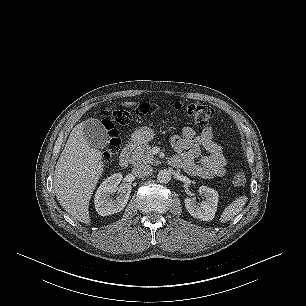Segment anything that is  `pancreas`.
<instances>
[{
    "instance_id": "obj_1",
    "label": "pancreas",
    "mask_w": 306,
    "mask_h": 306,
    "mask_svg": "<svg viewBox=\"0 0 306 306\" xmlns=\"http://www.w3.org/2000/svg\"><path fill=\"white\" fill-rule=\"evenodd\" d=\"M133 165L154 164L156 159L151 152V146L147 143L140 144L131 156Z\"/></svg>"
}]
</instances>
